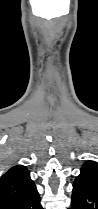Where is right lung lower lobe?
I'll use <instances>...</instances> for the list:
<instances>
[{"mask_svg":"<svg viewBox=\"0 0 98 209\" xmlns=\"http://www.w3.org/2000/svg\"><path fill=\"white\" fill-rule=\"evenodd\" d=\"M7 209H43L36 186Z\"/></svg>","mask_w":98,"mask_h":209,"instance_id":"98d812e1","label":"right lung lower lobe"}]
</instances>
